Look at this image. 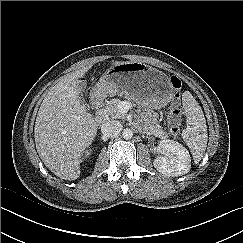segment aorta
I'll return each mask as SVG.
<instances>
[{
	"label": "aorta",
	"mask_w": 243,
	"mask_h": 243,
	"mask_svg": "<svg viewBox=\"0 0 243 243\" xmlns=\"http://www.w3.org/2000/svg\"><path fill=\"white\" fill-rule=\"evenodd\" d=\"M122 136L124 139L129 140L133 137V131L129 128H126L123 130Z\"/></svg>",
	"instance_id": "obj_1"
}]
</instances>
